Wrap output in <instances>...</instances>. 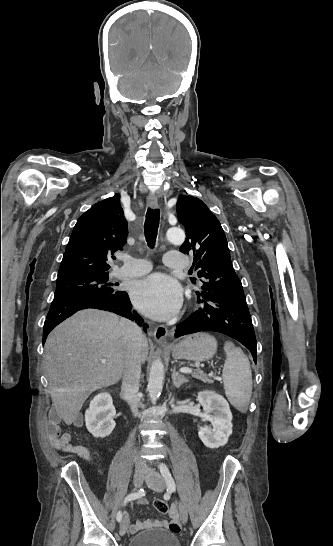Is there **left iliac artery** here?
I'll use <instances>...</instances> for the list:
<instances>
[{
    "label": "left iliac artery",
    "instance_id": "44dca946",
    "mask_svg": "<svg viewBox=\"0 0 333 546\" xmlns=\"http://www.w3.org/2000/svg\"><path fill=\"white\" fill-rule=\"evenodd\" d=\"M159 468H160V472H161V474H162V476H163V478H164V480H165V482H166V484L168 486V489L170 491H175L176 485H175L174 479H173L168 467L166 466V464L161 463L159 465Z\"/></svg>",
    "mask_w": 333,
    "mask_h": 546
}]
</instances>
